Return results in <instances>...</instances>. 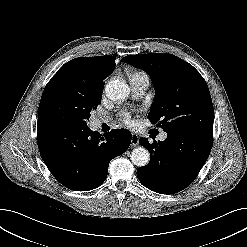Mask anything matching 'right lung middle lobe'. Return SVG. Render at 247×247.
Here are the masks:
<instances>
[{"mask_svg": "<svg viewBox=\"0 0 247 247\" xmlns=\"http://www.w3.org/2000/svg\"><path fill=\"white\" fill-rule=\"evenodd\" d=\"M102 89L88 79L74 59L63 65L46 85L38 108V118L61 125L87 128L90 112L101 101Z\"/></svg>", "mask_w": 247, "mask_h": 247, "instance_id": "right-lung-middle-lobe-1", "label": "right lung middle lobe"}]
</instances>
